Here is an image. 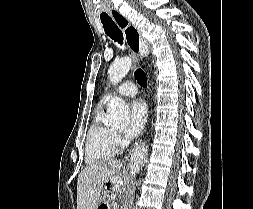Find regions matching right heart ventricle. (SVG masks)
<instances>
[{
	"instance_id": "1",
	"label": "right heart ventricle",
	"mask_w": 253,
	"mask_h": 209,
	"mask_svg": "<svg viewBox=\"0 0 253 209\" xmlns=\"http://www.w3.org/2000/svg\"><path fill=\"white\" fill-rule=\"evenodd\" d=\"M102 103L96 109L89 127L86 144V162L94 164L113 157L118 149L115 132L102 123Z\"/></svg>"
}]
</instances>
